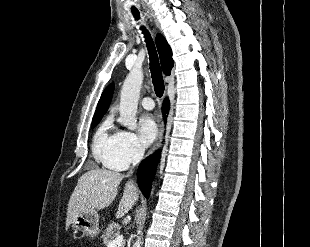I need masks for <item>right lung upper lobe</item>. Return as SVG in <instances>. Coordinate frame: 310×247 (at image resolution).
I'll return each instance as SVG.
<instances>
[{
    "label": "right lung upper lobe",
    "mask_w": 310,
    "mask_h": 247,
    "mask_svg": "<svg viewBox=\"0 0 310 247\" xmlns=\"http://www.w3.org/2000/svg\"><path fill=\"white\" fill-rule=\"evenodd\" d=\"M156 44L159 52L162 70L166 75H170V72L173 67L172 51L167 41L161 34L156 36ZM114 91V85H109L101 95V98L98 102L95 114L93 119L103 116L110 105L111 98Z\"/></svg>",
    "instance_id": "1"
}]
</instances>
